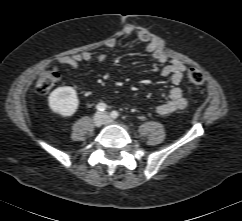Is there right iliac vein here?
<instances>
[{"instance_id": "63e3f726", "label": "right iliac vein", "mask_w": 242, "mask_h": 221, "mask_svg": "<svg viewBox=\"0 0 242 221\" xmlns=\"http://www.w3.org/2000/svg\"><path fill=\"white\" fill-rule=\"evenodd\" d=\"M105 122V116L102 113H96L93 117V124L96 127H101Z\"/></svg>"}]
</instances>
